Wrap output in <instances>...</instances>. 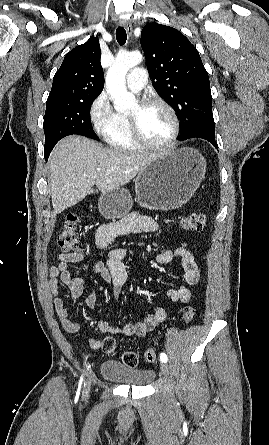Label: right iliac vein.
<instances>
[{
  "label": "right iliac vein",
  "mask_w": 269,
  "mask_h": 445,
  "mask_svg": "<svg viewBox=\"0 0 269 445\" xmlns=\"http://www.w3.org/2000/svg\"><path fill=\"white\" fill-rule=\"evenodd\" d=\"M89 390H90V383H88V384L86 385L85 393L87 394V393L89 392Z\"/></svg>",
  "instance_id": "obj_1"
}]
</instances>
